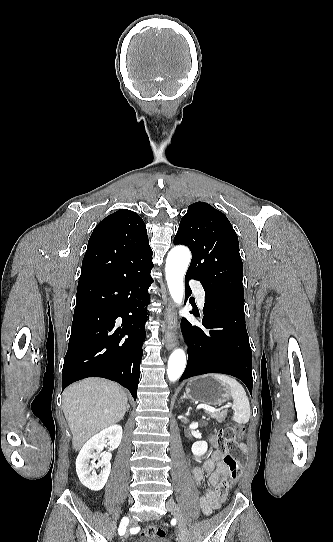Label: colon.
<instances>
[{"label": "colon", "mask_w": 333, "mask_h": 542, "mask_svg": "<svg viewBox=\"0 0 333 542\" xmlns=\"http://www.w3.org/2000/svg\"><path fill=\"white\" fill-rule=\"evenodd\" d=\"M245 434V428L243 425H230L227 424L217 431L218 438L216 439L217 446L223 451L227 452L224 457V462L230 470L229 482H223L219 487V493L221 495H227L231 487L237 481L242 470V456L241 450L236 449L231 453L235 447V443L239 441ZM141 536L145 539H162L164 538V530L157 524L150 523L145 526Z\"/></svg>", "instance_id": "obj_1"}]
</instances>
